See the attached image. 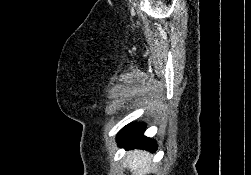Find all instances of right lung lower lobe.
<instances>
[{
  "instance_id": "obj_1",
  "label": "right lung lower lobe",
  "mask_w": 251,
  "mask_h": 175,
  "mask_svg": "<svg viewBox=\"0 0 251 175\" xmlns=\"http://www.w3.org/2000/svg\"><path fill=\"white\" fill-rule=\"evenodd\" d=\"M144 124H129L117 135L118 145L126 149L141 148L154 152L157 145L155 140L143 136Z\"/></svg>"
}]
</instances>
